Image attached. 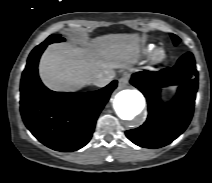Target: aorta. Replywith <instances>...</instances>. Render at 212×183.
I'll use <instances>...</instances> for the list:
<instances>
[{
	"instance_id": "aorta-1",
	"label": "aorta",
	"mask_w": 212,
	"mask_h": 183,
	"mask_svg": "<svg viewBox=\"0 0 212 183\" xmlns=\"http://www.w3.org/2000/svg\"><path fill=\"white\" fill-rule=\"evenodd\" d=\"M117 115L123 120H133L145 107V99L141 92L134 89L120 91L113 102Z\"/></svg>"
}]
</instances>
